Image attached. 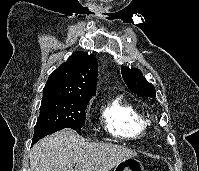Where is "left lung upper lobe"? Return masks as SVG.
I'll list each match as a JSON object with an SVG mask.
<instances>
[{"label": "left lung upper lobe", "instance_id": "1", "mask_svg": "<svg viewBox=\"0 0 199 171\" xmlns=\"http://www.w3.org/2000/svg\"><path fill=\"white\" fill-rule=\"evenodd\" d=\"M121 71L126 85L133 93L151 98L155 97V87L143 77L140 70L123 67Z\"/></svg>", "mask_w": 199, "mask_h": 171}]
</instances>
